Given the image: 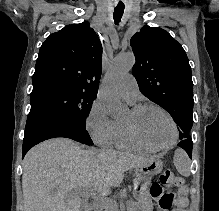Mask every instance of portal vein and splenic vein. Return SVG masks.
Instances as JSON below:
<instances>
[{
	"label": "portal vein and splenic vein",
	"instance_id": "18ae733b",
	"mask_svg": "<svg viewBox=\"0 0 219 211\" xmlns=\"http://www.w3.org/2000/svg\"><path fill=\"white\" fill-rule=\"evenodd\" d=\"M81 189H83V187H76L77 193H79V191H81ZM83 191H85V189H83ZM81 195H82V197H90V195H88V193H82V191H81ZM108 203H113L112 199H109Z\"/></svg>",
	"mask_w": 219,
	"mask_h": 211
}]
</instances>
